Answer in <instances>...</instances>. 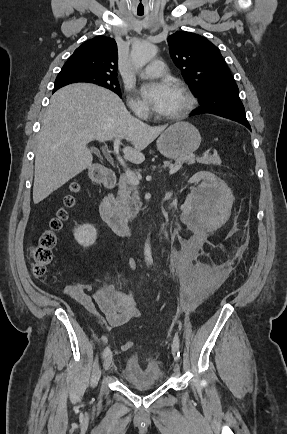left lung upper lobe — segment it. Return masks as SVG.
I'll use <instances>...</instances> for the list:
<instances>
[{
  "label": "left lung upper lobe",
  "instance_id": "left-lung-upper-lobe-1",
  "mask_svg": "<svg viewBox=\"0 0 287 434\" xmlns=\"http://www.w3.org/2000/svg\"><path fill=\"white\" fill-rule=\"evenodd\" d=\"M170 55L201 108L244 109L238 87L215 45L205 37L179 31L168 37Z\"/></svg>",
  "mask_w": 287,
  "mask_h": 434
}]
</instances>
